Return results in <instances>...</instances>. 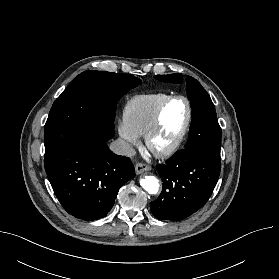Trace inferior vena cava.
<instances>
[{
	"mask_svg": "<svg viewBox=\"0 0 279 279\" xmlns=\"http://www.w3.org/2000/svg\"><path fill=\"white\" fill-rule=\"evenodd\" d=\"M110 149L118 155L134 156L136 154L135 149L125 140L117 139L110 144Z\"/></svg>",
	"mask_w": 279,
	"mask_h": 279,
	"instance_id": "1",
	"label": "inferior vena cava"
}]
</instances>
